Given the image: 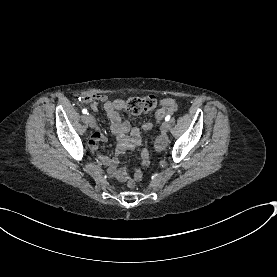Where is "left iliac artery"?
I'll return each instance as SVG.
<instances>
[{"label":"left iliac artery","mask_w":277,"mask_h":277,"mask_svg":"<svg viewBox=\"0 0 277 277\" xmlns=\"http://www.w3.org/2000/svg\"><path fill=\"white\" fill-rule=\"evenodd\" d=\"M170 120V115H167L166 117H165V121H169Z\"/></svg>","instance_id":"44dca946"}]
</instances>
